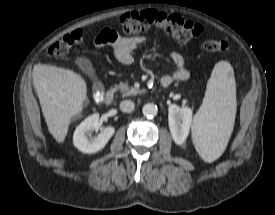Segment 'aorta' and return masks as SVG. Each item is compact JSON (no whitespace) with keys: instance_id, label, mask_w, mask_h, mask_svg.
Returning <instances> with one entry per match:
<instances>
[{"instance_id":"obj_1","label":"aorta","mask_w":275,"mask_h":215,"mask_svg":"<svg viewBox=\"0 0 275 215\" xmlns=\"http://www.w3.org/2000/svg\"><path fill=\"white\" fill-rule=\"evenodd\" d=\"M142 112L145 117L154 118L158 113V109L156 105L149 103L143 106Z\"/></svg>"}]
</instances>
